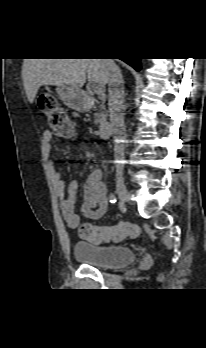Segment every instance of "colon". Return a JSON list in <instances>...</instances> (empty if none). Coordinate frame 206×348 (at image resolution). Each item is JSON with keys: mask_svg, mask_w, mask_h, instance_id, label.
Wrapping results in <instances>:
<instances>
[{"mask_svg": "<svg viewBox=\"0 0 206 348\" xmlns=\"http://www.w3.org/2000/svg\"><path fill=\"white\" fill-rule=\"evenodd\" d=\"M38 106L46 116L53 134L61 137H71L73 135L74 127L64 108L53 95H41ZM79 234L82 238L93 243L121 242L124 239L138 237L140 227L133 222H120L113 226L84 224L80 227Z\"/></svg>", "mask_w": 206, "mask_h": 348, "instance_id": "1", "label": "colon"}]
</instances>
